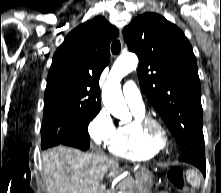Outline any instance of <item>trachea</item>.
I'll use <instances>...</instances> for the list:
<instances>
[{"instance_id":"trachea-1","label":"trachea","mask_w":221,"mask_h":193,"mask_svg":"<svg viewBox=\"0 0 221 193\" xmlns=\"http://www.w3.org/2000/svg\"><path fill=\"white\" fill-rule=\"evenodd\" d=\"M120 50H121L120 42L118 40L114 41L111 45L112 53L117 55V54H119Z\"/></svg>"}]
</instances>
